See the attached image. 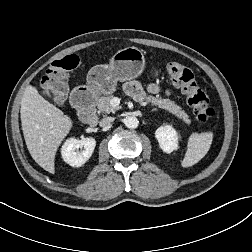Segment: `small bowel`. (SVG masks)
<instances>
[{"label": "small bowel", "instance_id": "1", "mask_svg": "<svg viewBox=\"0 0 252 252\" xmlns=\"http://www.w3.org/2000/svg\"><path fill=\"white\" fill-rule=\"evenodd\" d=\"M125 89L130 95L137 99H142L144 96V92L137 82L132 81L127 83ZM147 89L150 93H158L160 91V87L155 83L149 84Z\"/></svg>", "mask_w": 252, "mask_h": 252}]
</instances>
